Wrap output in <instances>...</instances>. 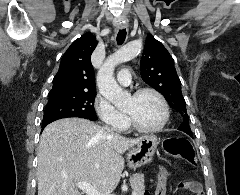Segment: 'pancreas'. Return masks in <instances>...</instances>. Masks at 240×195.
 Returning <instances> with one entry per match:
<instances>
[{
	"label": "pancreas",
	"instance_id": "obj_1",
	"mask_svg": "<svg viewBox=\"0 0 240 195\" xmlns=\"http://www.w3.org/2000/svg\"><path fill=\"white\" fill-rule=\"evenodd\" d=\"M129 181L136 195H143L145 191L144 173H134L133 177H130Z\"/></svg>",
	"mask_w": 240,
	"mask_h": 195
}]
</instances>
